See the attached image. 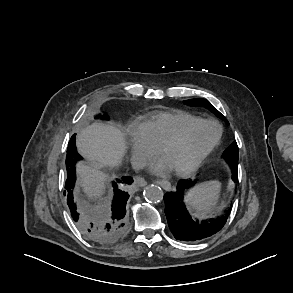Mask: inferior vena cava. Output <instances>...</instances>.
I'll use <instances>...</instances> for the list:
<instances>
[{
	"instance_id": "obj_1",
	"label": "inferior vena cava",
	"mask_w": 293,
	"mask_h": 293,
	"mask_svg": "<svg viewBox=\"0 0 293 293\" xmlns=\"http://www.w3.org/2000/svg\"><path fill=\"white\" fill-rule=\"evenodd\" d=\"M131 165L134 169H142L146 165V161L143 157L138 155H133L131 157Z\"/></svg>"
}]
</instances>
